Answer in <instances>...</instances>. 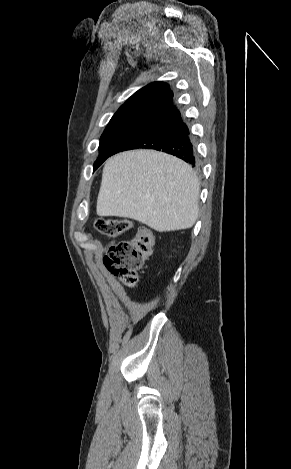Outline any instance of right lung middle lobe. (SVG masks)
Segmentation results:
<instances>
[{"instance_id":"obj_1","label":"right lung middle lobe","mask_w":291,"mask_h":469,"mask_svg":"<svg viewBox=\"0 0 291 469\" xmlns=\"http://www.w3.org/2000/svg\"><path fill=\"white\" fill-rule=\"evenodd\" d=\"M152 115L139 112L116 113L111 118L100 138L99 157L94 171L108 158L110 153L130 134L144 124Z\"/></svg>"}]
</instances>
